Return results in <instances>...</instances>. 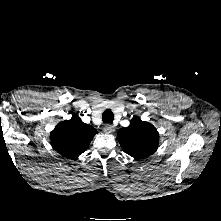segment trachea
Returning <instances> with one entry per match:
<instances>
[{
	"instance_id": "1",
	"label": "trachea",
	"mask_w": 221,
	"mask_h": 221,
	"mask_svg": "<svg viewBox=\"0 0 221 221\" xmlns=\"http://www.w3.org/2000/svg\"><path fill=\"white\" fill-rule=\"evenodd\" d=\"M102 120L104 123H112L114 120V114L111 110H105L102 114Z\"/></svg>"
}]
</instances>
